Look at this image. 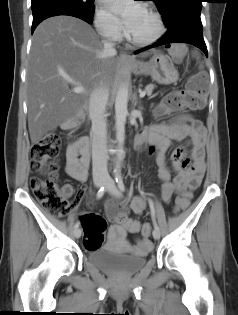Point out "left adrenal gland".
I'll list each match as a JSON object with an SVG mask.
<instances>
[{
  "mask_svg": "<svg viewBox=\"0 0 238 315\" xmlns=\"http://www.w3.org/2000/svg\"><path fill=\"white\" fill-rule=\"evenodd\" d=\"M134 105H136L137 104V95H136V93L134 94Z\"/></svg>",
  "mask_w": 238,
  "mask_h": 315,
  "instance_id": "left-adrenal-gland-1",
  "label": "left adrenal gland"
}]
</instances>
